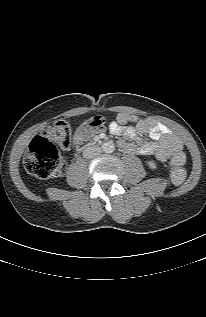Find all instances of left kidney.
<instances>
[{
    "label": "left kidney",
    "mask_w": 206,
    "mask_h": 317,
    "mask_svg": "<svg viewBox=\"0 0 206 317\" xmlns=\"http://www.w3.org/2000/svg\"><path fill=\"white\" fill-rule=\"evenodd\" d=\"M148 165H149V167H150L151 169H155V168H156V164H155L154 161H149V162H148Z\"/></svg>",
    "instance_id": "1"
}]
</instances>
